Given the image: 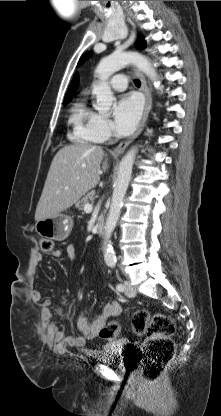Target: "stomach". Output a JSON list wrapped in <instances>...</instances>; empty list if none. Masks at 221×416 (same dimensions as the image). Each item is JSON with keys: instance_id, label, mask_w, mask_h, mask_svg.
<instances>
[{"instance_id": "stomach-1", "label": "stomach", "mask_w": 221, "mask_h": 416, "mask_svg": "<svg viewBox=\"0 0 221 416\" xmlns=\"http://www.w3.org/2000/svg\"><path fill=\"white\" fill-rule=\"evenodd\" d=\"M73 227L70 216L59 213L58 215L36 222L35 230L40 237L50 240H65Z\"/></svg>"}]
</instances>
